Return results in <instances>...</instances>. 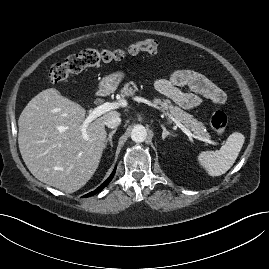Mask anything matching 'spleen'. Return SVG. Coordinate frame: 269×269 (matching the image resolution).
Masks as SVG:
<instances>
[{
    "mask_svg": "<svg viewBox=\"0 0 269 269\" xmlns=\"http://www.w3.org/2000/svg\"><path fill=\"white\" fill-rule=\"evenodd\" d=\"M242 133L233 132L220 150L203 151L198 155V161L212 177L226 173L235 163L244 144Z\"/></svg>",
    "mask_w": 269,
    "mask_h": 269,
    "instance_id": "1",
    "label": "spleen"
}]
</instances>
